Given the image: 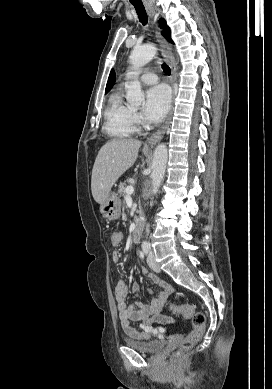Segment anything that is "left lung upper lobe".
<instances>
[{
    "label": "left lung upper lobe",
    "instance_id": "5c2ea615",
    "mask_svg": "<svg viewBox=\"0 0 272 389\" xmlns=\"http://www.w3.org/2000/svg\"><path fill=\"white\" fill-rule=\"evenodd\" d=\"M159 24H160V28L164 29V31L162 32L163 36L166 37L169 41H171V39H170V29L166 25V21L163 18H161L159 20Z\"/></svg>",
    "mask_w": 272,
    "mask_h": 389
}]
</instances>
